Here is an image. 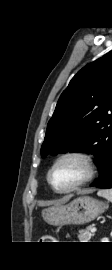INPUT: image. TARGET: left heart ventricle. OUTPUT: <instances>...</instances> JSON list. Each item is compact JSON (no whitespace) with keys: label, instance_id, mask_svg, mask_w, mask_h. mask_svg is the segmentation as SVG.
I'll use <instances>...</instances> for the list:
<instances>
[{"label":"left heart ventricle","instance_id":"1","mask_svg":"<svg viewBox=\"0 0 112 270\" xmlns=\"http://www.w3.org/2000/svg\"><path fill=\"white\" fill-rule=\"evenodd\" d=\"M85 176L84 165L76 159L62 161L53 171L51 180L58 189H66Z\"/></svg>","mask_w":112,"mask_h":270}]
</instances>
